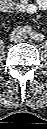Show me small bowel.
<instances>
[{"instance_id": "1", "label": "small bowel", "mask_w": 47, "mask_h": 129, "mask_svg": "<svg viewBox=\"0 0 47 129\" xmlns=\"http://www.w3.org/2000/svg\"><path fill=\"white\" fill-rule=\"evenodd\" d=\"M0 8L3 12L34 14L47 9V0H0Z\"/></svg>"}]
</instances>
